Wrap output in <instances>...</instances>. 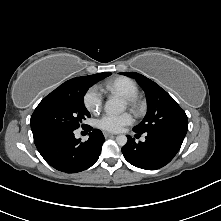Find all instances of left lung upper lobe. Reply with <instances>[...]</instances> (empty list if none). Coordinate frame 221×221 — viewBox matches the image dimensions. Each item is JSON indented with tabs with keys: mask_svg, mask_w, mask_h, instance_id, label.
<instances>
[{
	"mask_svg": "<svg viewBox=\"0 0 221 221\" xmlns=\"http://www.w3.org/2000/svg\"><path fill=\"white\" fill-rule=\"evenodd\" d=\"M123 74L135 78L147 97L146 116L140 124L133 128L135 132L139 134L176 132L186 135L188 129L186 113L166 91L141 74L135 72Z\"/></svg>",
	"mask_w": 221,
	"mask_h": 221,
	"instance_id": "obj_1",
	"label": "left lung upper lobe"
}]
</instances>
